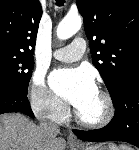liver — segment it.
<instances>
[{"label":"liver","instance_id":"1","mask_svg":"<svg viewBox=\"0 0 139 150\" xmlns=\"http://www.w3.org/2000/svg\"><path fill=\"white\" fill-rule=\"evenodd\" d=\"M58 133L47 134L21 114L0 116V150H65Z\"/></svg>","mask_w":139,"mask_h":150}]
</instances>
